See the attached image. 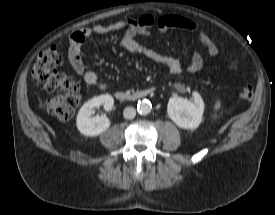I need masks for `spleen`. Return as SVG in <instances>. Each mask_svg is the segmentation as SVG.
I'll list each match as a JSON object with an SVG mask.
<instances>
[{
	"instance_id": "3e777b00",
	"label": "spleen",
	"mask_w": 275,
	"mask_h": 215,
	"mask_svg": "<svg viewBox=\"0 0 275 215\" xmlns=\"http://www.w3.org/2000/svg\"><path fill=\"white\" fill-rule=\"evenodd\" d=\"M219 107V103H217V105H216V108H218Z\"/></svg>"
}]
</instances>
